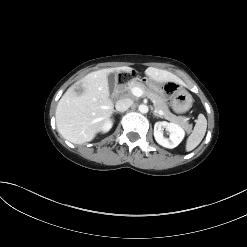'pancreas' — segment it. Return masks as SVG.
<instances>
[{"label": "pancreas", "instance_id": "pancreas-1", "mask_svg": "<svg viewBox=\"0 0 247 247\" xmlns=\"http://www.w3.org/2000/svg\"><path fill=\"white\" fill-rule=\"evenodd\" d=\"M130 83V82H129ZM127 84L126 89L131 90L134 87H139L143 90L144 94L153 102L154 108L157 111H162V118H165L171 122L177 123L182 126L188 133L192 130V125L188 123L187 118L184 116H176L172 114L166 104L165 99L157 92L155 86L147 87L143 83L131 82L130 85Z\"/></svg>", "mask_w": 247, "mask_h": 247}]
</instances>
